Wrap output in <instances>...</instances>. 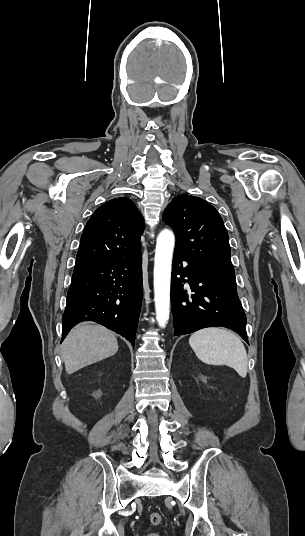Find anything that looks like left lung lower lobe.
Here are the masks:
<instances>
[{
	"label": "left lung lower lobe",
	"mask_w": 305,
	"mask_h": 536,
	"mask_svg": "<svg viewBox=\"0 0 305 536\" xmlns=\"http://www.w3.org/2000/svg\"><path fill=\"white\" fill-rule=\"evenodd\" d=\"M184 261L186 267L182 264ZM186 282L190 286L188 291L184 289ZM171 308L174 336L223 326L248 342L246 316L237 295L235 272L208 268L174 253Z\"/></svg>",
	"instance_id": "obj_1"
}]
</instances>
